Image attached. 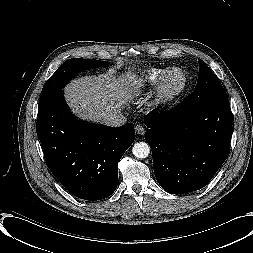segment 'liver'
I'll return each mask as SVG.
<instances>
[{"mask_svg": "<svg viewBox=\"0 0 253 253\" xmlns=\"http://www.w3.org/2000/svg\"><path fill=\"white\" fill-rule=\"evenodd\" d=\"M141 79L131 72L116 78L112 75L82 77L69 83L65 99L72 112L79 118L104 123L134 96H138Z\"/></svg>", "mask_w": 253, "mask_h": 253, "instance_id": "obj_1", "label": "liver"}]
</instances>
